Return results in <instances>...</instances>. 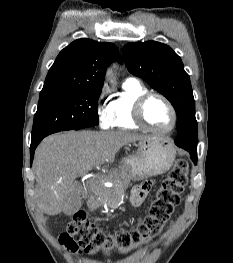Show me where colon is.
Here are the masks:
<instances>
[{"label":"colon","mask_w":233,"mask_h":263,"mask_svg":"<svg viewBox=\"0 0 233 263\" xmlns=\"http://www.w3.org/2000/svg\"><path fill=\"white\" fill-rule=\"evenodd\" d=\"M188 163L178 159L156 192L148 215L133 230L107 234L90 223L82 212H77L60 235L62 244L71 251L81 249L87 254L118 249L123 254L148 243L156 237L180 202V194L188 182Z\"/></svg>","instance_id":"colon-1"}]
</instances>
